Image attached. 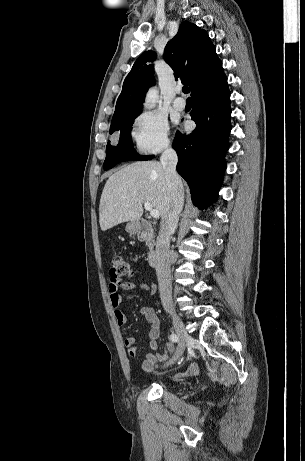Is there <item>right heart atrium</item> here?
Returning <instances> with one entry per match:
<instances>
[{"instance_id":"right-heart-atrium-1","label":"right heart atrium","mask_w":305,"mask_h":461,"mask_svg":"<svg viewBox=\"0 0 305 461\" xmlns=\"http://www.w3.org/2000/svg\"><path fill=\"white\" fill-rule=\"evenodd\" d=\"M168 121L153 112H144L134 121L132 139L142 154H156L170 147Z\"/></svg>"}]
</instances>
